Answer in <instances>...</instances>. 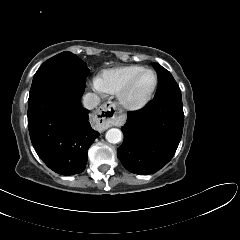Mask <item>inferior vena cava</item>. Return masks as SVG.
Masks as SVG:
<instances>
[{"label":"inferior vena cava","instance_id":"602c4592","mask_svg":"<svg viewBox=\"0 0 240 240\" xmlns=\"http://www.w3.org/2000/svg\"><path fill=\"white\" fill-rule=\"evenodd\" d=\"M100 103V97L95 94V93H87L84 97H83V106L86 109H93L96 106H98V104Z\"/></svg>","mask_w":240,"mask_h":240}]
</instances>
